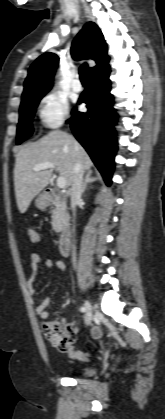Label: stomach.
Here are the masks:
<instances>
[{
  "label": "stomach",
  "instance_id": "obj_1",
  "mask_svg": "<svg viewBox=\"0 0 165 419\" xmlns=\"http://www.w3.org/2000/svg\"><path fill=\"white\" fill-rule=\"evenodd\" d=\"M46 204H47V202L43 201L41 197H39V198L36 200V206H37L39 209H44V208H45V206H46Z\"/></svg>",
  "mask_w": 165,
  "mask_h": 419
}]
</instances>
